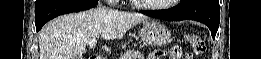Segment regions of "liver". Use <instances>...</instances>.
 Wrapping results in <instances>:
<instances>
[{
    "instance_id": "1",
    "label": "liver",
    "mask_w": 261,
    "mask_h": 59,
    "mask_svg": "<svg viewBox=\"0 0 261 59\" xmlns=\"http://www.w3.org/2000/svg\"><path fill=\"white\" fill-rule=\"evenodd\" d=\"M146 17L101 7L59 16L48 22L39 37L40 59H75L86 52L88 42L122 38Z\"/></svg>"
}]
</instances>
